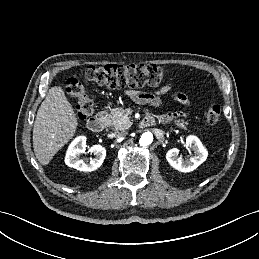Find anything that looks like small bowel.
<instances>
[{"label": "small bowel", "mask_w": 259, "mask_h": 259, "mask_svg": "<svg viewBox=\"0 0 259 259\" xmlns=\"http://www.w3.org/2000/svg\"><path fill=\"white\" fill-rule=\"evenodd\" d=\"M170 91V86H163L161 89L157 92L156 95L149 94V93H143L138 91H131L129 92V96L136 102L141 104H148L153 107H157L160 104V100L158 98V95H164ZM175 99L178 100L182 104H187L188 100L185 95L181 93H176L174 95ZM180 114H165L160 116V121L163 123H168L177 117H179Z\"/></svg>", "instance_id": "c3829d8e"}]
</instances>
